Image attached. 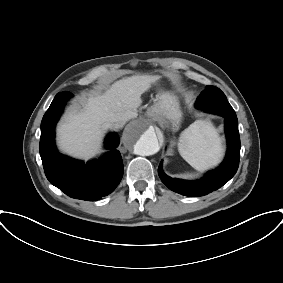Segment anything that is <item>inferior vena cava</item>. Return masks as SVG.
Wrapping results in <instances>:
<instances>
[{"mask_svg": "<svg viewBox=\"0 0 283 283\" xmlns=\"http://www.w3.org/2000/svg\"><path fill=\"white\" fill-rule=\"evenodd\" d=\"M123 125H124L123 122H115V123L109 124V127H110L111 129L117 130V129L122 128Z\"/></svg>", "mask_w": 283, "mask_h": 283, "instance_id": "obj_1", "label": "inferior vena cava"}]
</instances>
